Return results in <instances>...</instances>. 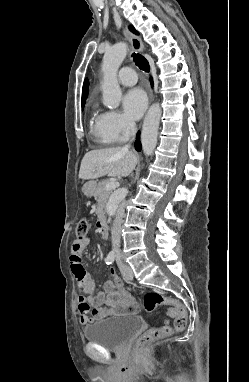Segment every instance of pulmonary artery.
Returning a JSON list of instances; mask_svg holds the SVG:
<instances>
[{"instance_id":"pulmonary-artery-1","label":"pulmonary artery","mask_w":249,"mask_h":382,"mask_svg":"<svg viewBox=\"0 0 249 382\" xmlns=\"http://www.w3.org/2000/svg\"><path fill=\"white\" fill-rule=\"evenodd\" d=\"M120 84L125 86H132L137 82L135 71L130 67H123L117 75Z\"/></svg>"}]
</instances>
